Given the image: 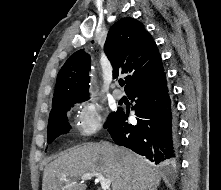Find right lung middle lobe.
Instances as JSON below:
<instances>
[{
    "label": "right lung middle lobe",
    "instance_id": "1",
    "mask_svg": "<svg viewBox=\"0 0 221 190\" xmlns=\"http://www.w3.org/2000/svg\"><path fill=\"white\" fill-rule=\"evenodd\" d=\"M79 101H68L56 103L52 105V110L49 115L48 122V143H51L56 137L63 133H67L70 129L66 113L70 110L73 104ZM116 112L109 115L105 128H108L116 116Z\"/></svg>",
    "mask_w": 221,
    "mask_h": 190
}]
</instances>
